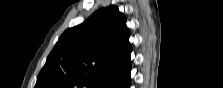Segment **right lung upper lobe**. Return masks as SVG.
Masks as SVG:
<instances>
[{
  "mask_svg": "<svg viewBox=\"0 0 223 88\" xmlns=\"http://www.w3.org/2000/svg\"><path fill=\"white\" fill-rule=\"evenodd\" d=\"M129 36L117 7L100 9L61 35L35 88H121L131 79Z\"/></svg>",
  "mask_w": 223,
  "mask_h": 88,
  "instance_id": "obj_1",
  "label": "right lung upper lobe"
}]
</instances>
